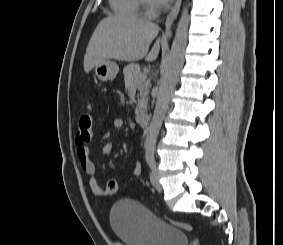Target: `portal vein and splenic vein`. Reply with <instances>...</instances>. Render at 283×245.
<instances>
[{
  "label": "portal vein and splenic vein",
  "instance_id": "portal-vein-and-splenic-vein-1",
  "mask_svg": "<svg viewBox=\"0 0 283 245\" xmlns=\"http://www.w3.org/2000/svg\"><path fill=\"white\" fill-rule=\"evenodd\" d=\"M145 78H146V74L144 73L139 76L140 81L144 80Z\"/></svg>",
  "mask_w": 283,
  "mask_h": 245
}]
</instances>
